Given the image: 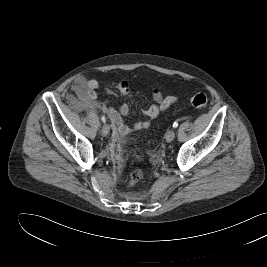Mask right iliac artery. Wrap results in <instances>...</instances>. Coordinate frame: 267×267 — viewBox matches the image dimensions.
Returning a JSON list of instances; mask_svg holds the SVG:
<instances>
[{"label": "right iliac artery", "mask_w": 267, "mask_h": 267, "mask_svg": "<svg viewBox=\"0 0 267 267\" xmlns=\"http://www.w3.org/2000/svg\"><path fill=\"white\" fill-rule=\"evenodd\" d=\"M101 120H102V122H105L106 118L104 116H102Z\"/></svg>", "instance_id": "82829eb1"}]
</instances>
